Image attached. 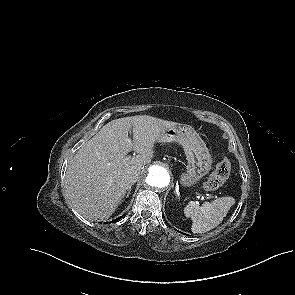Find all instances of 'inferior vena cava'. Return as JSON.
I'll return each mask as SVG.
<instances>
[{
	"label": "inferior vena cava",
	"instance_id": "inferior-vena-cava-1",
	"mask_svg": "<svg viewBox=\"0 0 295 295\" xmlns=\"http://www.w3.org/2000/svg\"><path fill=\"white\" fill-rule=\"evenodd\" d=\"M138 176H139V174H138L136 171H133V172H131V173L128 175V179H129L131 182H136L137 179H138Z\"/></svg>",
	"mask_w": 295,
	"mask_h": 295
}]
</instances>
